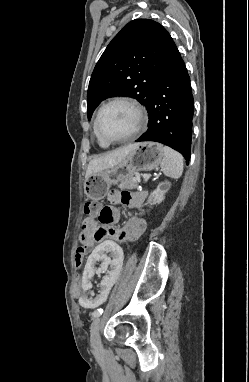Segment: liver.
Wrapping results in <instances>:
<instances>
[{"mask_svg":"<svg viewBox=\"0 0 249 382\" xmlns=\"http://www.w3.org/2000/svg\"><path fill=\"white\" fill-rule=\"evenodd\" d=\"M134 147L135 144H130L92 159L86 170V179L93 173L104 171L116 166L133 150Z\"/></svg>","mask_w":249,"mask_h":382,"instance_id":"6515ba94","label":"liver"}]
</instances>
